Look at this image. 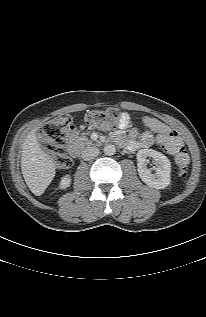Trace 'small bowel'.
Listing matches in <instances>:
<instances>
[{
	"label": "small bowel",
	"mask_w": 206,
	"mask_h": 317,
	"mask_svg": "<svg viewBox=\"0 0 206 317\" xmlns=\"http://www.w3.org/2000/svg\"><path fill=\"white\" fill-rule=\"evenodd\" d=\"M130 122V115L128 113H123L119 127L121 129H126L129 127ZM142 123L147 130L142 134L139 140H137L138 132L136 129H130L125 138L121 136L118 137V140L124 143L129 150L150 147L155 139L161 142L168 133L174 132L168 125L153 117H144Z\"/></svg>",
	"instance_id": "obj_1"
}]
</instances>
